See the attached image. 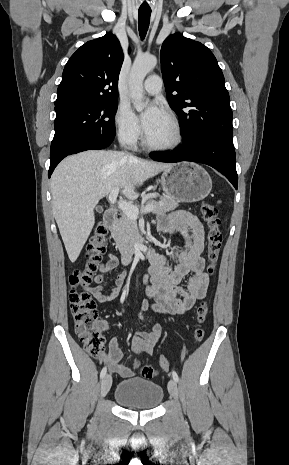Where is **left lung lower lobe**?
<instances>
[{
  "label": "left lung lower lobe",
  "instance_id": "1",
  "mask_svg": "<svg viewBox=\"0 0 289 465\" xmlns=\"http://www.w3.org/2000/svg\"><path fill=\"white\" fill-rule=\"evenodd\" d=\"M155 161H191L207 164L221 172L237 189L238 175L232 141L213 135H198L174 151L151 152Z\"/></svg>",
  "mask_w": 289,
  "mask_h": 465
}]
</instances>
